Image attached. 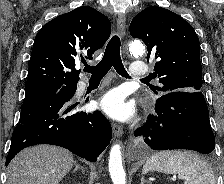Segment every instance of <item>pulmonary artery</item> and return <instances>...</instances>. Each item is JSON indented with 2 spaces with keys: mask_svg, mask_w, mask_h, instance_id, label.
I'll use <instances>...</instances> for the list:
<instances>
[{
  "mask_svg": "<svg viewBox=\"0 0 224 184\" xmlns=\"http://www.w3.org/2000/svg\"><path fill=\"white\" fill-rule=\"evenodd\" d=\"M149 69L148 66L142 61H135L130 69V76L133 78L144 77L148 74ZM85 87L84 83L79 85V89H83Z\"/></svg>",
  "mask_w": 224,
  "mask_h": 184,
  "instance_id": "e3ab8cb5",
  "label": "pulmonary artery"
}]
</instances>
